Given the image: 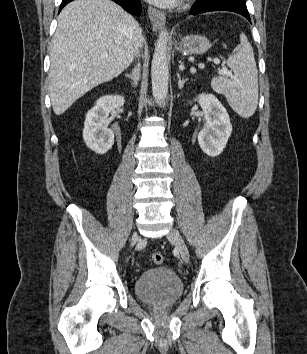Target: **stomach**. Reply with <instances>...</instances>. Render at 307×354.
Listing matches in <instances>:
<instances>
[{
  "label": "stomach",
  "mask_w": 307,
  "mask_h": 354,
  "mask_svg": "<svg viewBox=\"0 0 307 354\" xmlns=\"http://www.w3.org/2000/svg\"><path fill=\"white\" fill-rule=\"evenodd\" d=\"M175 47L182 54L199 55L207 52L211 45L205 36L190 34L176 43Z\"/></svg>",
  "instance_id": "obj_1"
}]
</instances>
